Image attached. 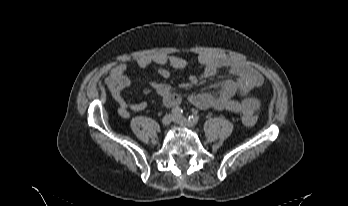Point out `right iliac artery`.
<instances>
[{
	"instance_id": "obj_1",
	"label": "right iliac artery",
	"mask_w": 348,
	"mask_h": 206,
	"mask_svg": "<svg viewBox=\"0 0 348 206\" xmlns=\"http://www.w3.org/2000/svg\"><path fill=\"white\" fill-rule=\"evenodd\" d=\"M182 113H183V111L179 107H176V108L172 109V114H173L174 117H181Z\"/></svg>"
}]
</instances>
